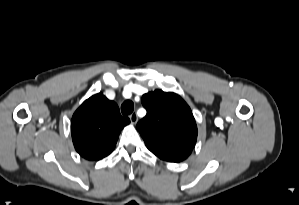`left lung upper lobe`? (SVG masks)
<instances>
[{
    "label": "left lung upper lobe",
    "mask_w": 299,
    "mask_h": 205,
    "mask_svg": "<svg viewBox=\"0 0 299 205\" xmlns=\"http://www.w3.org/2000/svg\"><path fill=\"white\" fill-rule=\"evenodd\" d=\"M142 104L147 114L136 127L151 152L194 148L196 122L191 109L179 95L155 90L142 96Z\"/></svg>",
    "instance_id": "obj_1"
}]
</instances>
